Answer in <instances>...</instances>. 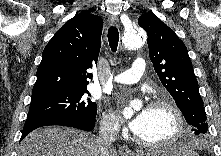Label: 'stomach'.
Segmentation results:
<instances>
[{
  "instance_id": "obj_1",
  "label": "stomach",
  "mask_w": 221,
  "mask_h": 156,
  "mask_svg": "<svg viewBox=\"0 0 221 156\" xmlns=\"http://www.w3.org/2000/svg\"><path fill=\"white\" fill-rule=\"evenodd\" d=\"M146 156H198V154L187 146L174 144L164 146L156 151L146 154Z\"/></svg>"
}]
</instances>
